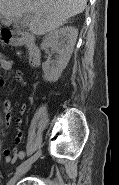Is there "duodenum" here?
<instances>
[{
	"instance_id": "obj_1",
	"label": "duodenum",
	"mask_w": 119,
	"mask_h": 185,
	"mask_svg": "<svg viewBox=\"0 0 119 185\" xmlns=\"http://www.w3.org/2000/svg\"><path fill=\"white\" fill-rule=\"evenodd\" d=\"M3 39L10 45H24L28 51V62L32 67H38L41 62V52L32 35L15 31L5 30Z\"/></svg>"
}]
</instances>
